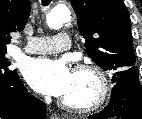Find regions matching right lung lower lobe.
Masks as SVG:
<instances>
[{"label": "right lung lower lobe", "instance_id": "obj_1", "mask_svg": "<svg viewBox=\"0 0 142 119\" xmlns=\"http://www.w3.org/2000/svg\"><path fill=\"white\" fill-rule=\"evenodd\" d=\"M46 106L23 86L19 76L6 83L0 82V118L45 119Z\"/></svg>", "mask_w": 142, "mask_h": 119}]
</instances>
